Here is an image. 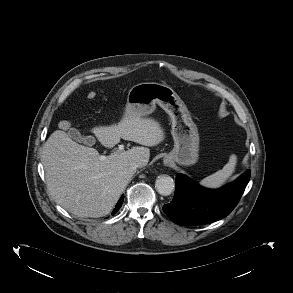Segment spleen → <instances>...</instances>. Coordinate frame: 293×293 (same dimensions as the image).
Returning a JSON list of instances; mask_svg holds the SVG:
<instances>
[{"label": "spleen", "mask_w": 293, "mask_h": 293, "mask_svg": "<svg viewBox=\"0 0 293 293\" xmlns=\"http://www.w3.org/2000/svg\"><path fill=\"white\" fill-rule=\"evenodd\" d=\"M236 163H237V156L233 154L230 156L229 162L222 168V170H219L215 172L214 174L202 179L200 181V184L208 188H219L234 173Z\"/></svg>", "instance_id": "3e777b00"}]
</instances>
